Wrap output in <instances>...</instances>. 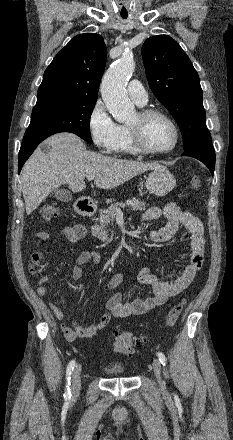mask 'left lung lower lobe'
Instances as JSON below:
<instances>
[{"instance_id": "left-lung-lower-lobe-1", "label": "left lung lower lobe", "mask_w": 233, "mask_h": 440, "mask_svg": "<svg viewBox=\"0 0 233 440\" xmlns=\"http://www.w3.org/2000/svg\"><path fill=\"white\" fill-rule=\"evenodd\" d=\"M182 156H189L200 160L209 168L212 174L214 173L215 152L212 143L186 150Z\"/></svg>"}]
</instances>
